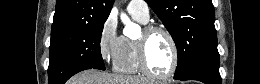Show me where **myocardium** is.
<instances>
[{
  "mask_svg": "<svg viewBox=\"0 0 260 84\" xmlns=\"http://www.w3.org/2000/svg\"><path fill=\"white\" fill-rule=\"evenodd\" d=\"M155 32H161L162 34H164L167 37L171 46V51H172L171 67L169 71L164 74H159L152 71V69L150 68L147 62L146 42L148 37ZM136 49H137L140 69L145 75H147L152 79H159V80H167L169 78H172L175 75L179 66V49L175 37L167 28L158 24H152L146 26L143 30L142 37L136 41Z\"/></svg>",
  "mask_w": 260,
  "mask_h": 84,
  "instance_id": "1",
  "label": "myocardium"
}]
</instances>
